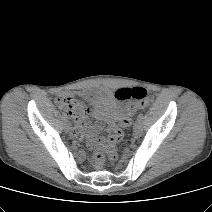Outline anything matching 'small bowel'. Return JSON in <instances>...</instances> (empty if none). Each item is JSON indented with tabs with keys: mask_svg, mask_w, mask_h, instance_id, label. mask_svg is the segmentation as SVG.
<instances>
[{
	"mask_svg": "<svg viewBox=\"0 0 212 212\" xmlns=\"http://www.w3.org/2000/svg\"><path fill=\"white\" fill-rule=\"evenodd\" d=\"M79 95L92 104L94 117L98 121L106 123L108 130L114 131L118 122L128 125L130 123V116L136 110L134 105H124L117 102L113 98L111 91L104 88L81 91ZM86 115L75 119L76 128L74 136L76 138H86L90 147L97 150L100 146V141L96 135L101 130V127L89 124L86 121Z\"/></svg>",
	"mask_w": 212,
	"mask_h": 212,
	"instance_id": "obj_1",
	"label": "small bowel"
}]
</instances>
